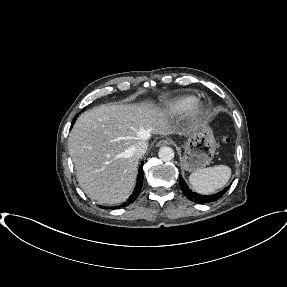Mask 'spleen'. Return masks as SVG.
Returning <instances> with one entry per match:
<instances>
[{"mask_svg": "<svg viewBox=\"0 0 287 287\" xmlns=\"http://www.w3.org/2000/svg\"><path fill=\"white\" fill-rule=\"evenodd\" d=\"M231 169L226 165L203 168L191 173L190 184L199 194H211L227 184Z\"/></svg>", "mask_w": 287, "mask_h": 287, "instance_id": "spleen-1", "label": "spleen"}]
</instances>
